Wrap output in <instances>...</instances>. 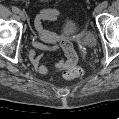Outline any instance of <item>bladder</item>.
<instances>
[{
    "mask_svg": "<svg viewBox=\"0 0 119 119\" xmlns=\"http://www.w3.org/2000/svg\"><path fill=\"white\" fill-rule=\"evenodd\" d=\"M63 32L83 43L86 47L92 48L96 45V38L91 31L83 30L72 18H67L63 24Z\"/></svg>",
    "mask_w": 119,
    "mask_h": 119,
    "instance_id": "bladder-1",
    "label": "bladder"
}]
</instances>
